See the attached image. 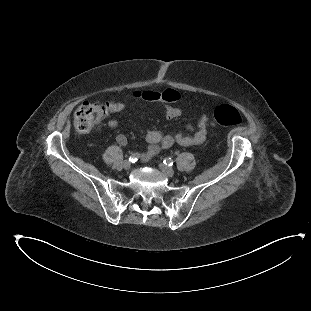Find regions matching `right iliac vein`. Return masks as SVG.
I'll return each mask as SVG.
<instances>
[{
    "label": "right iliac vein",
    "mask_w": 311,
    "mask_h": 311,
    "mask_svg": "<svg viewBox=\"0 0 311 311\" xmlns=\"http://www.w3.org/2000/svg\"><path fill=\"white\" fill-rule=\"evenodd\" d=\"M123 167L125 170H129L131 168V162L130 161H124Z\"/></svg>",
    "instance_id": "63e3f726"
}]
</instances>
